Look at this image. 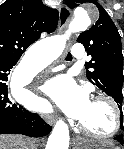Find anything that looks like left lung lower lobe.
Masks as SVG:
<instances>
[{"label":"left lung lower lobe","mask_w":124,"mask_h":149,"mask_svg":"<svg viewBox=\"0 0 124 149\" xmlns=\"http://www.w3.org/2000/svg\"><path fill=\"white\" fill-rule=\"evenodd\" d=\"M114 139L117 140L118 142H120L123 145V137H122V135H118Z\"/></svg>","instance_id":"1"}]
</instances>
